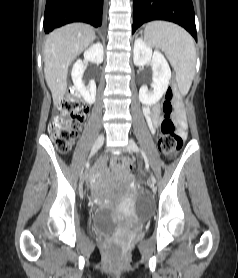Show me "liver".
<instances>
[{"label":"liver","instance_id":"obj_1","mask_svg":"<svg viewBox=\"0 0 238 278\" xmlns=\"http://www.w3.org/2000/svg\"><path fill=\"white\" fill-rule=\"evenodd\" d=\"M94 29L73 23L50 33L44 45V74L54 106H59L67 88L68 68L94 40Z\"/></svg>","mask_w":238,"mask_h":278}]
</instances>
